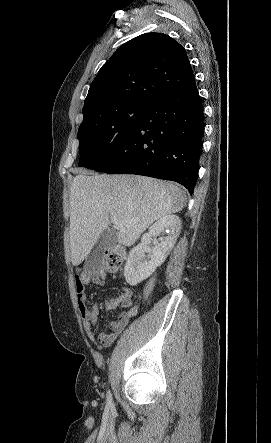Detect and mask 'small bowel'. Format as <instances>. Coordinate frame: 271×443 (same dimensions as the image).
Returning <instances> with one entry per match:
<instances>
[{
	"label": "small bowel",
	"instance_id": "obj_1",
	"mask_svg": "<svg viewBox=\"0 0 271 443\" xmlns=\"http://www.w3.org/2000/svg\"><path fill=\"white\" fill-rule=\"evenodd\" d=\"M106 271L103 268H91L82 272H75V290L78 309L82 318L83 327L89 339L98 347L110 346L131 318L137 315L139 307L132 304V290L123 286L121 294L118 297H109L104 300V306L107 310H113L117 307L122 308L119 317L110 323L111 334L100 332L97 336L93 330L97 325L99 310L97 305L88 307L86 304L85 286L93 283L99 286L105 284Z\"/></svg>",
	"mask_w": 271,
	"mask_h": 443
}]
</instances>
